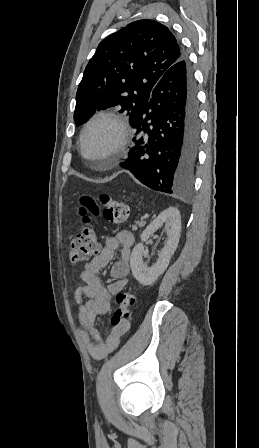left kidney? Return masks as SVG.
<instances>
[{"label": "left kidney", "instance_id": "left-kidney-1", "mask_svg": "<svg viewBox=\"0 0 259 448\" xmlns=\"http://www.w3.org/2000/svg\"><path fill=\"white\" fill-rule=\"evenodd\" d=\"M164 222L165 228H167L168 240L159 256V260H157L154 266L146 268L145 264H143V244H136L135 248L132 250L130 258L132 274L142 286H152V284L156 282L158 276L164 274L169 266L170 258L173 256L178 246L181 230V216L178 208H172V206H170L168 210L161 212L158 218L153 220V222L147 226L146 230L141 234L142 242L149 240L150 236H152L156 230H159Z\"/></svg>", "mask_w": 259, "mask_h": 448}]
</instances>
